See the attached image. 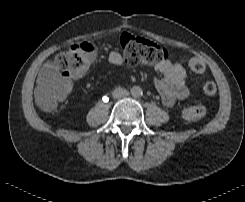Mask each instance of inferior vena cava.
I'll return each mask as SVG.
<instances>
[{"instance_id": "1", "label": "inferior vena cava", "mask_w": 245, "mask_h": 202, "mask_svg": "<svg viewBox=\"0 0 245 202\" xmlns=\"http://www.w3.org/2000/svg\"><path fill=\"white\" fill-rule=\"evenodd\" d=\"M128 95H129V92L126 89L120 88V87L114 89V91L112 92V96L114 99L124 98Z\"/></svg>"}]
</instances>
